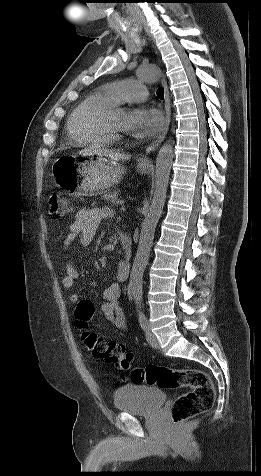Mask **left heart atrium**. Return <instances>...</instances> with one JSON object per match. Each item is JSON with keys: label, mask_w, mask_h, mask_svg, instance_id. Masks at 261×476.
Wrapping results in <instances>:
<instances>
[{"label": "left heart atrium", "mask_w": 261, "mask_h": 476, "mask_svg": "<svg viewBox=\"0 0 261 476\" xmlns=\"http://www.w3.org/2000/svg\"><path fill=\"white\" fill-rule=\"evenodd\" d=\"M163 124L161 113L154 108L139 107L131 110L125 120L126 131L139 138L156 134Z\"/></svg>", "instance_id": "39dd6f15"}]
</instances>
